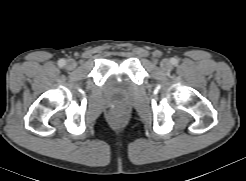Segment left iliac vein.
<instances>
[{
    "mask_svg": "<svg viewBox=\"0 0 246 181\" xmlns=\"http://www.w3.org/2000/svg\"><path fill=\"white\" fill-rule=\"evenodd\" d=\"M160 66L164 70H169L172 67L171 63L167 59H163L160 63Z\"/></svg>",
    "mask_w": 246,
    "mask_h": 181,
    "instance_id": "4c4485c4",
    "label": "left iliac vein"
}]
</instances>
